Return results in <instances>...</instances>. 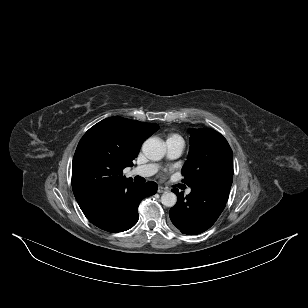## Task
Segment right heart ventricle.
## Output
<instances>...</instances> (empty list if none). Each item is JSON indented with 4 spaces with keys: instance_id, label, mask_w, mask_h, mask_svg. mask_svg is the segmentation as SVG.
Returning <instances> with one entry per match:
<instances>
[{
    "instance_id": "e07e8e85",
    "label": "right heart ventricle",
    "mask_w": 308,
    "mask_h": 308,
    "mask_svg": "<svg viewBox=\"0 0 308 308\" xmlns=\"http://www.w3.org/2000/svg\"><path fill=\"white\" fill-rule=\"evenodd\" d=\"M168 139H177V140H182L183 141L182 137L179 134H176V133L170 134L168 136Z\"/></svg>"
}]
</instances>
